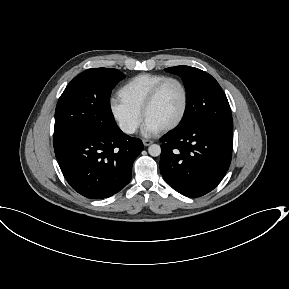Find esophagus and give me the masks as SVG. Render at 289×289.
Wrapping results in <instances>:
<instances>
[{
	"label": "esophagus",
	"mask_w": 289,
	"mask_h": 289,
	"mask_svg": "<svg viewBox=\"0 0 289 289\" xmlns=\"http://www.w3.org/2000/svg\"><path fill=\"white\" fill-rule=\"evenodd\" d=\"M152 143H153L152 140H148V139H144V140H143L144 146H149V145H151Z\"/></svg>",
	"instance_id": "34e87169"
}]
</instances>
